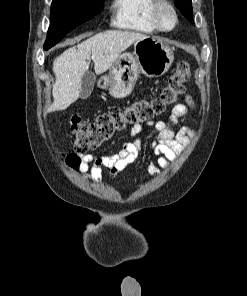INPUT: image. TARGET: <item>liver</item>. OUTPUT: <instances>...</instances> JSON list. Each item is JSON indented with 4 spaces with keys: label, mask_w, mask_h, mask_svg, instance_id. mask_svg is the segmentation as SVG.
<instances>
[{
    "label": "liver",
    "mask_w": 247,
    "mask_h": 296,
    "mask_svg": "<svg viewBox=\"0 0 247 296\" xmlns=\"http://www.w3.org/2000/svg\"><path fill=\"white\" fill-rule=\"evenodd\" d=\"M146 38L148 36L142 33L109 30L65 50L53 61L56 78L52 89L54 101L48 111L65 109L77 101L90 59L93 60L95 73L99 75L108 70L133 43Z\"/></svg>",
    "instance_id": "6515ba94"
}]
</instances>
